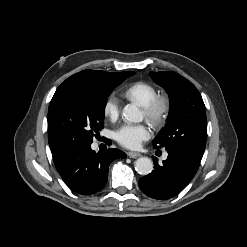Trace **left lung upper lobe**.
Instances as JSON below:
<instances>
[{
	"label": "left lung upper lobe",
	"instance_id": "1",
	"mask_svg": "<svg viewBox=\"0 0 247 247\" xmlns=\"http://www.w3.org/2000/svg\"><path fill=\"white\" fill-rule=\"evenodd\" d=\"M150 76L167 91L170 98L166 125L154 138V147L202 157L206 146L207 121L199 91L175 72H150Z\"/></svg>",
	"mask_w": 247,
	"mask_h": 247
}]
</instances>
